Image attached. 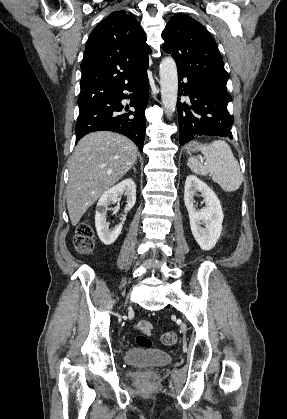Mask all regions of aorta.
I'll list each match as a JSON object with an SVG mask.
<instances>
[{
  "label": "aorta",
  "instance_id": "762f6f07",
  "mask_svg": "<svg viewBox=\"0 0 287 419\" xmlns=\"http://www.w3.org/2000/svg\"><path fill=\"white\" fill-rule=\"evenodd\" d=\"M161 100L167 112H174L177 103L178 74L172 57H166L160 64Z\"/></svg>",
  "mask_w": 287,
  "mask_h": 419
}]
</instances>
